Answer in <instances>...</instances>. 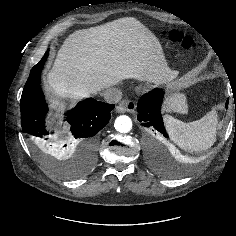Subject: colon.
Returning a JSON list of instances; mask_svg holds the SVG:
<instances>
[{"label":"colon","mask_w":236,"mask_h":236,"mask_svg":"<svg viewBox=\"0 0 236 236\" xmlns=\"http://www.w3.org/2000/svg\"><path fill=\"white\" fill-rule=\"evenodd\" d=\"M168 36L173 43L180 45L184 49H197V44L191 36L185 35L184 33L176 30L170 31Z\"/></svg>","instance_id":"5ec220e1"}]
</instances>
